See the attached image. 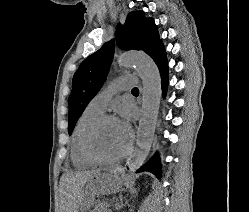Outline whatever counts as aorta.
Returning <instances> with one entry per match:
<instances>
[{
    "mask_svg": "<svg viewBox=\"0 0 249 212\" xmlns=\"http://www.w3.org/2000/svg\"><path fill=\"white\" fill-rule=\"evenodd\" d=\"M118 62L125 67H135L143 84L136 148L130 158L129 172L134 174L146 160L154 139L161 99V76L153 59L142 52L123 53Z\"/></svg>",
    "mask_w": 249,
    "mask_h": 212,
    "instance_id": "aorta-1",
    "label": "aorta"
}]
</instances>
